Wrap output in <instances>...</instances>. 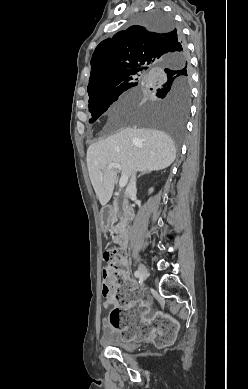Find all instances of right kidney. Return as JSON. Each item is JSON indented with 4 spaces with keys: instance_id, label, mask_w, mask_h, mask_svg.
<instances>
[{
    "instance_id": "ca27d5eb",
    "label": "right kidney",
    "mask_w": 248,
    "mask_h": 389,
    "mask_svg": "<svg viewBox=\"0 0 248 389\" xmlns=\"http://www.w3.org/2000/svg\"><path fill=\"white\" fill-rule=\"evenodd\" d=\"M153 192V189L151 188L150 190H149V193H152Z\"/></svg>"
}]
</instances>
